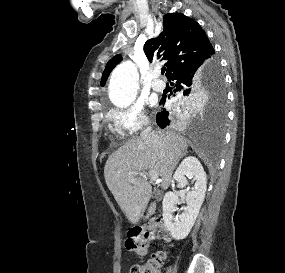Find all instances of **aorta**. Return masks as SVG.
Returning a JSON list of instances; mask_svg holds the SVG:
<instances>
[{
  "label": "aorta",
  "instance_id": "aorta-1",
  "mask_svg": "<svg viewBox=\"0 0 285 273\" xmlns=\"http://www.w3.org/2000/svg\"><path fill=\"white\" fill-rule=\"evenodd\" d=\"M139 74L134 63L127 61L112 72L109 84V98L119 108H125L136 99Z\"/></svg>",
  "mask_w": 285,
  "mask_h": 273
}]
</instances>
